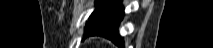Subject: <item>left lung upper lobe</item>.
<instances>
[{"mask_svg":"<svg viewBox=\"0 0 213 48\" xmlns=\"http://www.w3.org/2000/svg\"><path fill=\"white\" fill-rule=\"evenodd\" d=\"M118 0H96L95 5L96 8L93 11V13L91 14V16L89 17L88 23L90 22V20L98 13L102 12L103 10L111 7L112 5H114ZM87 23V24H88Z\"/></svg>","mask_w":213,"mask_h":48,"instance_id":"5c2ea615","label":"left lung upper lobe"}]
</instances>
